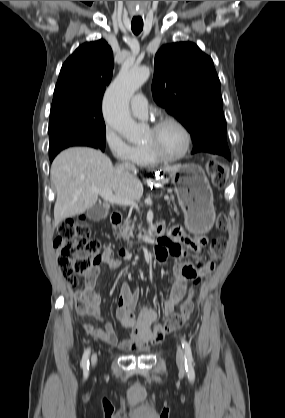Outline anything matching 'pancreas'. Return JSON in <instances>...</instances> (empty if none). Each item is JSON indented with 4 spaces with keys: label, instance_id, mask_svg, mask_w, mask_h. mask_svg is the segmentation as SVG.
Listing matches in <instances>:
<instances>
[{
    "label": "pancreas",
    "instance_id": "cf45deb5",
    "mask_svg": "<svg viewBox=\"0 0 285 418\" xmlns=\"http://www.w3.org/2000/svg\"><path fill=\"white\" fill-rule=\"evenodd\" d=\"M173 208H174V211H177L175 204L173 205ZM141 228H142V225L137 226V230H140ZM134 231H135V219L132 221L130 220V218H127L124 221V223L119 227L118 237L119 238L122 237L130 246H132L133 242L130 241V239L134 237V234H133Z\"/></svg>",
    "mask_w": 285,
    "mask_h": 418
}]
</instances>
